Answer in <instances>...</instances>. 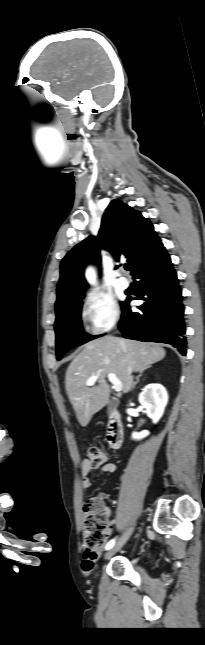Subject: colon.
Returning <instances> with one entry per match:
<instances>
[{
  "label": "colon",
  "mask_w": 205,
  "mask_h": 645,
  "mask_svg": "<svg viewBox=\"0 0 205 645\" xmlns=\"http://www.w3.org/2000/svg\"><path fill=\"white\" fill-rule=\"evenodd\" d=\"M87 460L94 466L106 464L107 454L96 446L86 449ZM84 545L87 551L101 548L109 536V523L103 497H93L83 504Z\"/></svg>",
  "instance_id": "obj_1"
}]
</instances>
